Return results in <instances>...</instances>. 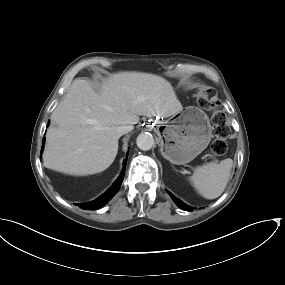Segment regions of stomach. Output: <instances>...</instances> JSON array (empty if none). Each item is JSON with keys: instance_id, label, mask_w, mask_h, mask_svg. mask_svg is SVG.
I'll return each instance as SVG.
<instances>
[{"instance_id": "stomach-1", "label": "stomach", "mask_w": 285, "mask_h": 285, "mask_svg": "<svg viewBox=\"0 0 285 285\" xmlns=\"http://www.w3.org/2000/svg\"><path fill=\"white\" fill-rule=\"evenodd\" d=\"M162 156L176 165L196 158L210 143L212 131L208 116L197 107H187L158 122Z\"/></svg>"}]
</instances>
